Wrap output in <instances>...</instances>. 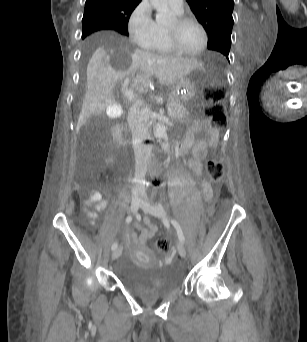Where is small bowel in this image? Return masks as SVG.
Masks as SVG:
<instances>
[{
	"label": "small bowel",
	"instance_id": "obj_1",
	"mask_svg": "<svg viewBox=\"0 0 307 342\" xmlns=\"http://www.w3.org/2000/svg\"><path fill=\"white\" fill-rule=\"evenodd\" d=\"M205 133L206 137H202L201 134ZM219 140V130L210 126L206 121H196L189 130L185 141L182 146V151H191V158L188 162L189 167L194 171L198 177L202 176V159L207 156L208 150L216 146ZM201 185L206 200L211 199V189L209 184L205 180H201ZM85 209L93 207V211H89L88 215L94 218L97 213L101 212L106 206L107 201L102 199L99 192L93 191L91 196L83 203ZM146 227L136 225L140 234L137 235L134 232L128 230L125 236L130 239L131 245L143 249L147 241L154 237L157 232V226L150 222L148 218H145Z\"/></svg>",
	"mask_w": 307,
	"mask_h": 342
}]
</instances>
